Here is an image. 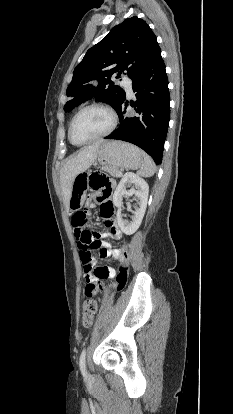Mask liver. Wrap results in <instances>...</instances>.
Returning <instances> with one entry per match:
<instances>
[{
	"mask_svg": "<svg viewBox=\"0 0 233 414\" xmlns=\"http://www.w3.org/2000/svg\"><path fill=\"white\" fill-rule=\"evenodd\" d=\"M103 142H96L82 148L75 156L70 157L60 172V183L64 197V204L69 210L72 184L75 178L89 169L97 159L99 148Z\"/></svg>",
	"mask_w": 233,
	"mask_h": 414,
	"instance_id": "liver-1",
	"label": "liver"
}]
</instances>
